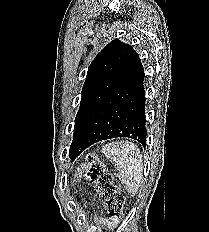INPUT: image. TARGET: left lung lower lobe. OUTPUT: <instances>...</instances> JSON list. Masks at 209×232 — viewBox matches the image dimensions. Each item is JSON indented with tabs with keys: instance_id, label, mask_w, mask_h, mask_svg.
Returning a JSON list of instances; mask_svg holds the SVG:
<instances>
[{
	"instance_id": "0a47b994",
	"label": "left lung lower lobe",
	"mask_w": 209,
	"mask_h": 232,
	"mask_svg": "<svg viewBox=\"0 0 209 232\" xmlns=\"http://www.w3.org/2000/svg\"><path fill=\"white\" fill-rule=\"evenodd\" d=\"M144 69L137 54L129 72L104 101L86 115L74 133L69 156L75 159L92 144L128 137L146 145Z\"/></svg>"
}]
</instances>
